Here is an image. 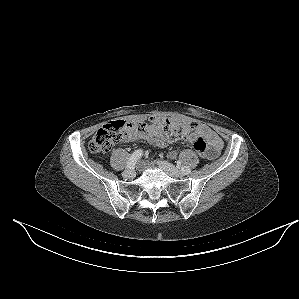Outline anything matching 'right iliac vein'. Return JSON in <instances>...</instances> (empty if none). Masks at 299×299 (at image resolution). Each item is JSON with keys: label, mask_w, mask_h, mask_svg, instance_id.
Instances as JSON below:
<instances>
[{"label": "right iliac vein", "mask_w": 299, "mask_h": 299, "mask_svg": "<svg viewBox=\"0 0 299 299\" xmlns=\"http://www.w3.org/2000/svg\"><path fill=\"white\" fill-rule=\"evenodd\" d=\"M125 178H133L135 176V171L133 169H127L123 172Z\"/></svg>", "instance_id": "63e3f726"}]
</instances>
